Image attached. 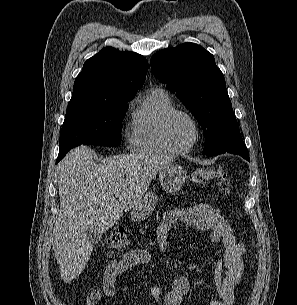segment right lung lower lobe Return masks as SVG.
I'll return each mask as SVG.
<instances>
[{
    "mask_svg": "<svg viewBox=\"0 0 297 305\" xmlns=\"http://www.w3.org/2000/svg\"><path fill=\"white\" fill-rule=\"evenodd\" d=\"M65 155L66 153H59L56 163H58Z\"/></svg>",
    "mask_w": 297,
    "mask_h": 305,
    "instance_id": "obj_1",
    "label": "right lung lower lobe"
}]
</instances>
